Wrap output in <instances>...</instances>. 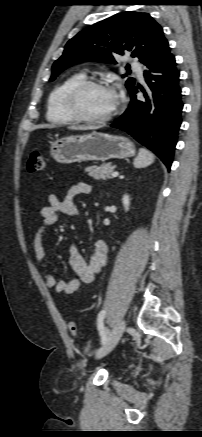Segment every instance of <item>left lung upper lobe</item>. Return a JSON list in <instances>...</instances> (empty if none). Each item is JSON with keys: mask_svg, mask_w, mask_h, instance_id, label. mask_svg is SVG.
Returning a JSON list of instances; mask_svg holds the SVG:
<instances>
[{"mask_svg": "<svg viewBox=\"0 0 202 437\" xmlns=\"http://www.w3.org/2000/svg\"><path fill=\"white\" fill-rule=\"evenodd\" d=\"M167 44L161 26L148 13L122 12L91 25L70 39L63 55L52 66L50 81L77 63H116L114 56L125 52L138 57L140 62L147 65ZM125 85L131 93L135 79L129 77Z\"/></svg>", "mask_w": 202, "mask_h": 437, "instance_id": "5c2ea615", "label": "left lung upper lobe"}]
</instances>
